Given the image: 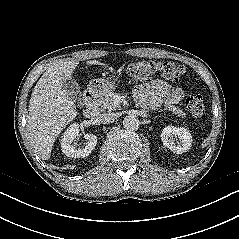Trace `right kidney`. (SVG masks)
I'll return each mask as SVG.
<instances>
[{
	"label": "right kidney",
	"mask_w": 239,
	"mask_h": 239,
	"mask_svg": "<svg viewBox=\"0 0 239 239\" xmlns=\"http://www.w3.org/2000/svg\"><path fill=\"white\" fill-rule=\"evenodd\" d=\"M79 134V125L77 123L71 124L64 132L61 139V150L63 154L71 158H83L88 156L97 144V136L93 134H86V146L82 149H77L73 144V140Z\"/></svg>",
	"instance_id": "1"
}]
</instances>
